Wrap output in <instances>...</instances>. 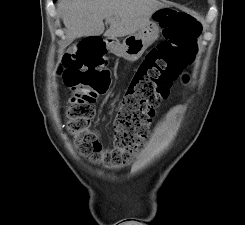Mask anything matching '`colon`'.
Instances as JSON below:
<instances>
[{
  "instance_id": "1",
  "label": "colon",
  "mask_w": 245,
  "mask_h": 225,
  "mask_svg": "<svg viewBox=\"0 0 245 225\" xmlns=\"http://www.w3.org/2000/svg\"><path fill=\"white\" fill-rule=\"evenodd\" d=\"M164 39L135 69L113 122L115 145L102 149L89 131L98 97L109 87V57L105 43L80 38L58 62L56 75L71 90L64 110L66 129L79 154L96 164L123 167L144 145L156 108L167 100L197 53L201 26L192 16L167 8L160 12Z\"/></svg>"
}]
</instances>
